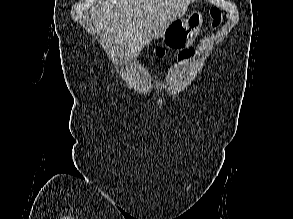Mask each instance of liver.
Listing matches in <instances>:
<instances>
[{"mask_svg":"<svg viewBox=\"0 0 293 219\" xmlns=\"http://www.w3.org/2000/svg\"><path fill=\"white\" fill-rule=\"evenodd\" d=\"M195 0H94L90 30L100 36L106 51L135 59L151 38L162 37Z\"/></svg>","mask_w":293,"mask_h":219,"instance_id":"liver-1","label":"liver"}]
</instances>
